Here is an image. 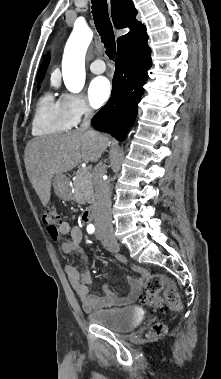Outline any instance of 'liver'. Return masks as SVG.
<instances>
[{
  "label": "liver",
  "instance_id": "6515ba94",
  "mask_svg": "<svg viewBox=\"0 0 221 379\" xmlns=\"http://www.w3.org/2000/svg\"><path fill=\"white\" fill-rule=\"evenodd\" d=\"M109 145V138L94 131L36 137L25 148V167L41 203L47 206L54 175L73 170L81 161L95 162Z\"/></svg>",
  "mask_w": 221,
  "mask_h": 379
}]
</instances>
